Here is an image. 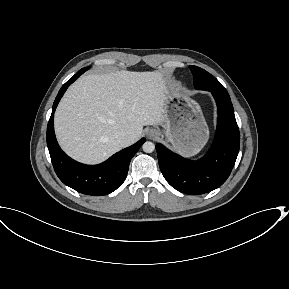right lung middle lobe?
Here are the masks:
<instances>
[{
    "mask_svg": "<svg viewBox=\"0 0 289 289\" xmlns=\"http://www.w3.org/2000/svg\"><path fill=\"white\" fill-rule=\"evenodd\" d=\"M87 69H88V67H86V68H83L82 70L85 72Z\"/></svg>",
    "mask_w": 289,
    "mask_h": 289,
    "instance_id": "obj_1",
    "label": "right lung middle lobe"
}]
</instances>
